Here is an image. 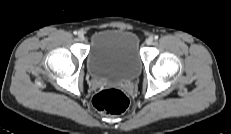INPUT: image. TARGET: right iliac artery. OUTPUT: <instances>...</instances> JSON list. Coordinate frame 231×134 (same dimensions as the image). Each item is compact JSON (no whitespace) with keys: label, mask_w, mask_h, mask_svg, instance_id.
<instances>
[{"label":"right iliac artery","mask_w":231,"mask_h":134,"mask_svg":"<svg viewBox=\"0 0 231 134\" xmlns=\"http://www.w3.org/2000/svg\"><path fill=\"white\" fill-rule=\"evenodd\" d=\"M73 34H74V35H77V34H78V32H77V31H74V32H73Z\"/></svg>","instance_id":"right-iliac-artery-1"}]
</instances>
